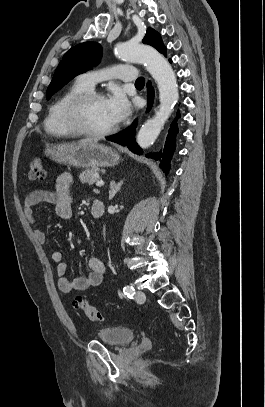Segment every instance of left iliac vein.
<instances>
[{"mask_svg":"<svg viewBox=\"0 0 265 407\" xmlns=\"http://www.w3.org/2000/svg\"><path fill=\"white\" fill-rule=\"evenodd\" d=\"M135 299L139 303H143L146 299L145 293L142 290H137L135 293Z\"/></svg>","mask_w":265,"mask_h":407,"instance_id":"4c4485c4","label":"left iliac vein"}]
</instances>
